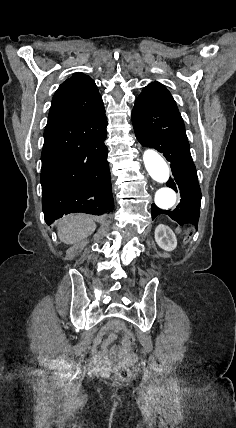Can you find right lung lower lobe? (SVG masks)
<instances>
[{
	"mask_svg": "<svg viewBox=\"0 0 236 428\" xmlns=\"http://www.w3.org/2000/svg\"><path fill=\"white\" fill-rule=\"evenodd\" d=\"M106 126L102 109L45 127L40 181L47 224L68 213L103 215L114 209Z\"/></svg>",
	"mask_w": 236,
	"mask_h": 428,
	"instance_id": "obj_1",
	"label": "right lung lower lobe"
}]
</instances>
